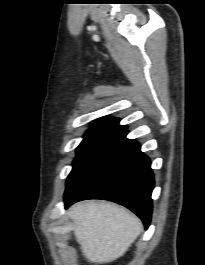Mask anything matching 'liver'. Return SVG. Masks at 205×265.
I'll return each instance as SVG.
<instances>
[{
	"label": "liver",
	"mask_w": 205,
	"mask_h": 265,
	"mask_svg": "<svg viewBox=\"0 0 205 265\" xmlns=\"http://www.w3.org/2000/svg\"><path fill=\"white\" fill-rule=\"evenodd\" d=\"M68 215L74 222V235L83 255L95 264L123 256L143 231L139 218L111 203H77Z\"/></svg>",
	"instance_id": "liver-1"
}]
</instances>
